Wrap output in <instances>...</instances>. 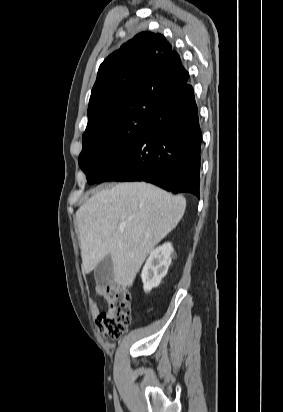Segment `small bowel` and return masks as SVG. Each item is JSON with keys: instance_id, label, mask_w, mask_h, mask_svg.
Wrapping results in <instances>:
<instances>
[{"instance_id": "small-bowel-1", "label": "small bowel", "mask_w": 283, "mask_h": 412, "mask_svg": "<svg viewBox=\"0 0 283 412\" xmlns=\"http://www.w3.org/2000/svg\"><path fill=\"white\" fill-rule=\"evenodd\" d=\"M95 294H96V296H99V297L105 296V290L102 287L97 286L95 288ZM89 303H90V307H91L92 311L94 313H98L99 306H98V302H97L96 298L92 297L90 299Z\"/></svg>"}]
</instances>
